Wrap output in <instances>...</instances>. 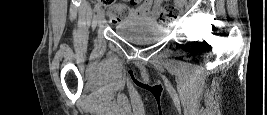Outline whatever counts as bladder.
Wrapping results in <instances>:
<instances>
[{"instance_id": "obj_1", "label": "bladder", "mask_w": 267, "mask_h": 115, "mask_svg": "<svg viewBox=\"0 0 267 115\" xmlns=\"http://www.w3.org/2000/svg\"><path fill=\"white\" fill-rule=\"evenodd\" d=\"M114 31L120 38L134 43L157 41L167 36V30L156 22L121 23Z\"/></svg>"}]
</instances>
